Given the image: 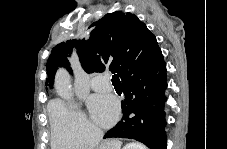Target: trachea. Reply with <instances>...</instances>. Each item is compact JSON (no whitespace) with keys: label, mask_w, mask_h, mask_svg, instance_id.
Listing matches in <instances>:
<instances>
[{"label":"trachea","mask_w":227,"mask_h":149,"mask_svg":"<svg viewBox=\"0 0 227 149\" xmlns=\"http://www.w3.org/2000/svg\"><path fill=\"white\" fill-rule=\"evenodd\" d=\"M112 83L115 85V84H120V80H119V76L117 74H114L112 76Z\"/></svg>","instance_id":"3493384b"}]
</instances>
